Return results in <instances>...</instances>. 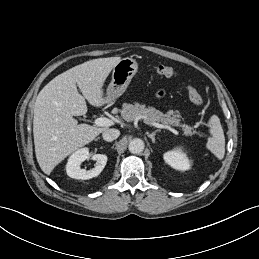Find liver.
I'll return each instance as SVG.
<instances>
[{
    "label": "liver",
    "instance_id": "1",
    "mask_svg": "<svg viewBox=\"0 0 259 259\" xmlns=\"http://www.w3.org/2000/svg\"><path fill=\"white\" fill-rule=\"evenodd\" d=\"M120 60V57H108L77 65L56 76L38 94L33 135L36 158L45 174L49 175L67 156L107 130L78 124L73 116L87 113L85 99L96 107L107 103L102 88Z\"/></svg>",
    "mask_w": 259,
    "mask_h": 259
}]
</instances>
